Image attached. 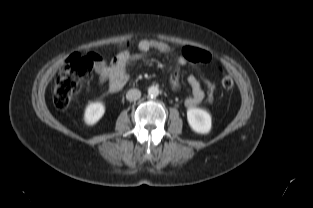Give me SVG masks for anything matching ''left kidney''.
Listing matches in <instances>:
<instances>
[{
	"mask_svg": "<svg viewBox=\"0 0 313 208\" xmlns=\"http://www.w3.org/2000/svg\"><path fill=\"white\" fill-rule=\"evenodd\" d=\"M187 120L191 129L198 134H208L211 131L212 118L210 113L205 109H188Z\"/></svg>",
	"mask_w": 313,
	"mask_h": 208,
	"instance_id": "5707ae66",
	"label": "left kidney"
}]
</instances>
